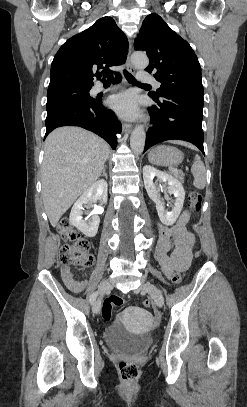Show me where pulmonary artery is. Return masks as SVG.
<instances>
[{
    "instance_id": "pulmonary-artery-1",
    "label": "pulmonary artery",
    "mask_w": 247,
    "mask_h": 407,
    "mask_svg": "<svg viewBox=\"0 0 247 407\" xmlns=\"http://www.w3.org/2000/svg\"><path fill=\"white\" fill-rule=\"evenodd\" d=\"M137 78H138V81L141 82V83L153 84L156 87L160 86V83L155 79V77L152 76L151 74L147 73V72L139 71L138 74H137ZM94 90L96 92H100V91H103L104 88H103V86L101 84H97L94 87Z\"/></svg>"
}]
</instances>
